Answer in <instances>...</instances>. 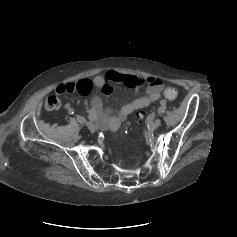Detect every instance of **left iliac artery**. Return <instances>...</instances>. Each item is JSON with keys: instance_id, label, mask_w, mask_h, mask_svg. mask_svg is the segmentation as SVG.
<instances>
[{"instance_id": "1", "label": "left iliac artery", "mask_w": 237, "mask_h": 237, "mask_svg": "<svg viewBox=\"0 0 237 237\" xmlns=\"http://www.w3.org/2000/svg\"><path fill=\"white\" fill-rule=\"evenodd\" d=\"M160 104H161V105H165V104H166V100H164V99L161 100V101H160Z\"/></svg>"}]
</instances>
